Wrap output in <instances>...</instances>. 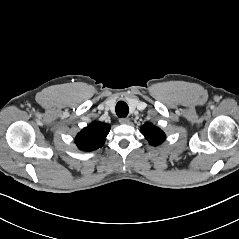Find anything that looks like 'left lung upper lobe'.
I'll use <instances>...</instances> for the list:
<instances>
[{"instance_id":"1","label":"left lung upper lobe","mask_w":239,"mask_h":239,"mask_svg":"<svg viewBox=\"0 0 239 239\" xmlns=\"http://www.w3.org/2000/svg\"><path fill=\"white\" fill-rule=\"evenodd\" d=\"M141 133L153 146H157L165 140V133L158 127L154 126L152 123L144 124L141 127Z\"/></svg>"}]
</instances>
